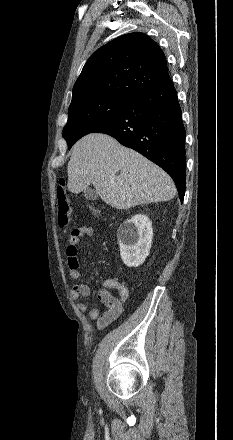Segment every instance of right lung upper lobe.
<instances>
[{
	"label": "right lung upper lobe",
	"instance_id": "cb5924a9",
	"mask_svg": "<svg viewBox=\"0 0 233 440\" xmlns=\"http://www.w3.org/2000/svg\"><path fill=\"white\" fill-rule=\"evenodd\" d=\"M169 80L165 55L139 32L122 35L95 51L74 84L72 103L96 97L131 99Z\"/></svg>",
	"mask_w": 233,
	"mask_h": 440
}]
</instances>
